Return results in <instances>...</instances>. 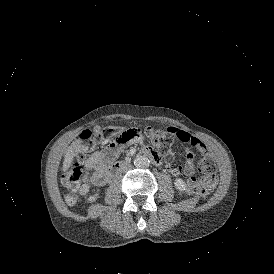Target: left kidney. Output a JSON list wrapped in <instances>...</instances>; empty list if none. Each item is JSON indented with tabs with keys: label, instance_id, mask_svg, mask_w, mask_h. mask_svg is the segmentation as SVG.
Masks as SVG:
<instances>
[{
	"label": "left kidney",
	"instance_id": "left-kidney-1",
	"mask_svg": "<svg viewBox=\"0 0 274 274\" xmlns=\"http://www.w3.org/2000/svg\"><path fill=\"white\" fill-rule=\"evenodd\" d=\"M174 185H175L176 189H178L179 191H185L186 190V184L180 178L175 180Z\"/></svg>",
	"mask_w": 274,
	"mask_h": 274
}]
</instances>
